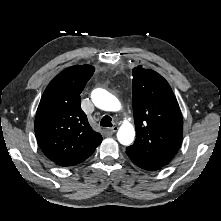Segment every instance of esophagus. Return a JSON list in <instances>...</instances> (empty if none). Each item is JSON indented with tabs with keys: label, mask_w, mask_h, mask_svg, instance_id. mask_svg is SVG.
Masks as SVG:
<instances>
[{
	"label": "esophagus",
	"mask_w": 221,
	"mask_h": 221,
	"mask_svg": "<svg viewBox=\"0 0 221 221\" xmlns=\"http://www.w3.org/2000/svg\"><path fill=\"white\" fill-rule=\"evenodd\" d=\"M109 132L113 133V132H116L118 130V127L117 126H113V127H110L107 129Z\"/></svg>",
	"instance_id": "obj_1"
}]
</instances>
